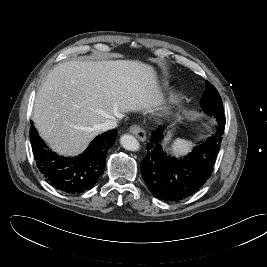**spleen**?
I'll return each instance as SVG.
<instances>
[{
	"instance_id": "spleen-1",
	"label": "spleen",
	"mask_w": 267,
	"mask_h": 267,
	"mask_svg": "<svg viewBox=\"0 0 267 267\" xmlns=\"http://www.w3.org/2000/svg\"><path fill=\"white\" fill-rule=\"evenodd\" d=\"M191 148L190 143L182 140V139H177L175 141V144L173 145V149L175 153H180V154H186L189 152Z\"/></svg>"
}]
</instances>
